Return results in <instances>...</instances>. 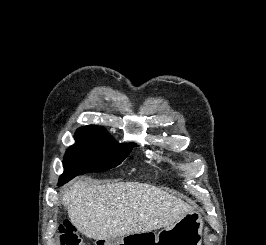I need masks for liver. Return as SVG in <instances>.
I'll list each match as a JSON object with an SVG mask.
<instances>
[{"instance_id": "6515ba94", "label": "liver", "mask_w": 266, "mask_h": 245, "mask_svg": "<svg viewBox=\"0 0 266 245\" xmlns=\"http://www.w3.org/2000/svg\"><path fill=\"white\" fill-rule=\"evenodd\" d=\"M63 203L77 231L96 241L162 229L194 211L181 199L147 183L76 181L65 189Z\"/></svg>"}]
</instances>
